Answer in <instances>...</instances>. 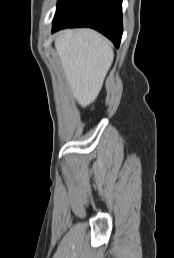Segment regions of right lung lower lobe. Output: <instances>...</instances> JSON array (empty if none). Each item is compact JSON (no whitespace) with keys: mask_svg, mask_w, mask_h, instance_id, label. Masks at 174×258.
I'll return each mask as SVG.
<instances>
[{"mask_svg":"<svg viewBox=\"0 0 174 258\" xmlns=\"http://www.w3.org/2000/svg\"><path fill=\"white\" fill-rule=\"evenodd\" d=\"M90 27L108 37L118 48L122 26V0H68L56 12L52 31Z\"/></svg>","mask_w":174,"mask_h":258,"instance_id":"right-lung-lower-lobe-1","label":"right lung lower lobe"}]
</instances>
